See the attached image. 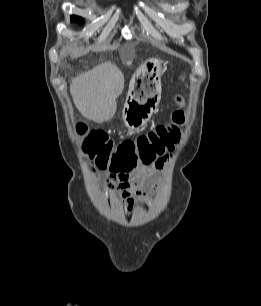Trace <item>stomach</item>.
<instances>
[{
	"instance_id": "1",
	"label": "stomach",
	"mask_w": 261,
	"mask_h": 306,
	"mask_svg": "<svg viewBox=\"0 0 261 306\" xmlns=\"http://www.w3.org/2000/svg\"><path fill=\"white\" fill-rule=\"evenodd\" d=\"M162 63L159 59H149L144 65L147 71L145 79L139 84L135 80L132 81L123 108V119L130 130L142 128L157 109L162 91ZM147 68H150V71Z\"/></svg>"
}]
</instances>
